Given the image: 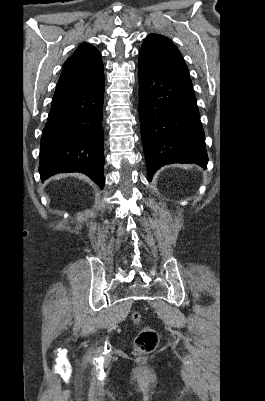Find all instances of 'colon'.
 <instances>
[{
	"label": "colon",
	"mask_w": 265,
	"mask_h": 401,
	"mask_svg": "<svg viewBox=\"0 0 265 401\" xmlns=\"http://www.w3.org/2000/svg\"><path fill=\"white\" fill-rule=\"evenodd\" d=\"M131 323L138 326L142 322V316L134 311L130 316ZM159 337L157 332L150 327L142 328L135 337L133 349L138 355H145L153 352L158 345Z\"/></svg>",
	"instance_id": "1"
}]
</instances>
